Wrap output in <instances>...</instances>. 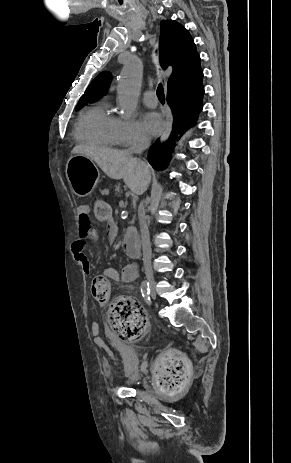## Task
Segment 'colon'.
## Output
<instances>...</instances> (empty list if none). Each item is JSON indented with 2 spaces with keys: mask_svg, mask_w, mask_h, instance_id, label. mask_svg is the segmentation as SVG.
I'll use <instances>...</instances> for the list:
<instances>
[{
  "mask_svg": "<svg viewBox=\"0 0 291 463\" xmlns=\"http://www.w3.org/2000/svg\"><path fill=\"white\" fill-rule=\"evenodd\" d=\"M95 213L103 220L112 214V209L102 200L95 203ZM91 294L100 304H106L111 298V283L97 276L91 282ZM109 322L112 331L124 340H136L144 336L147 330L146 315L137 300L129 297L114 298L109 308ZM159 386L169 394L179 392L188 377L187 360L176 352L163 355L159 361Z\"/></svg>",
  "mask_w": 291,
  "mask_h": 463,
  "instance_id": "colon-1",
  "label": "colon"
}]
</instances>
